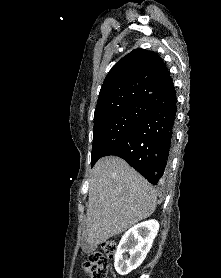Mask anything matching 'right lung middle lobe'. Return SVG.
Instances as JSON below:
<instances>
[{"mask_svg":"<svg viewBox=\"0 0 221 278\" xmlns=\"http://www.w3.org/2000/svg\"><path fill=\"white\" fill-rule=\"evenodd\" d=\"M149 111L146 101H135L94 117L91 165L113 143L131 132Z\"/></svg>","mask_w":221,"mask_h":278,"instance_id":"right-lung-middle-lobe-1","label":"right lung middle lobe"}]
</instances>
